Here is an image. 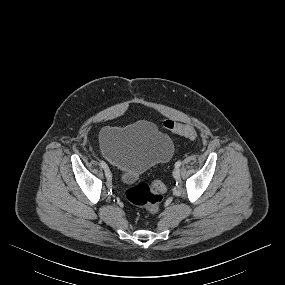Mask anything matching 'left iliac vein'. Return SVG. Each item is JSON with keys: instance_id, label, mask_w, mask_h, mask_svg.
I'll use <instances>...</instances> for the list:
<instances>
[{"instance_id": "4c4485c4", "label": "left iliac vein", "mask_w": 285, "mask_h": 285, "mask_svg": "<svg viewBox=\"0 0 285 285\" xmlns=\"http://www.w3.org/2000/svg\"><path fill=\"white\" fill-rule=\"evenodd\" d=\"M173 177H174L175 179H179V178H180V169H179V168H175V169L173 170Z\"/></svg>"}]
</instances>
